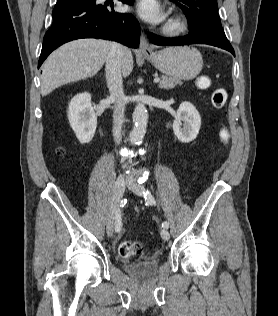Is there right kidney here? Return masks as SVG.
<instances>
[{
	"label": "right kidney",
	"mask_w": 278,
	"mask_h": 316,
	"mask_svg": "<svg viewBox=\"0 0 278 316\" xmlns=\"http://www.w3.org/2000/svg\"><path fill=\"white\" fill-rule=\"evenodd\" d=\"M68 119L79 142L89 143L97 127V117L91 105L89 93L78 94L70 101Z\"/></svg>",
	"instance_id": "ca27d5eb"
}]
</instances>
